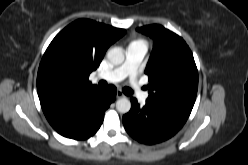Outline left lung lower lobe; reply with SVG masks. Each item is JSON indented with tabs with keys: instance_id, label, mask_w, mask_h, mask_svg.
<instances>
[{
	"instance_id": "obj_1",
	"label": "left lung lower lobe",
	"mask_w": 248,
	"mask_h": 165,
	"mask_svg": "<svg viewBox=\"0 0 248 165\" xmlns=\"http://www.w3.org/2000/svg\"><path fill=\"white\" fill-rule=\"evenodd\" d=\"M189 115L149 100L141 107L135 98H131V110L123 116V124L127 133L137 141L155 144L176 134Z\"/></svg>"
}]
</instances>
